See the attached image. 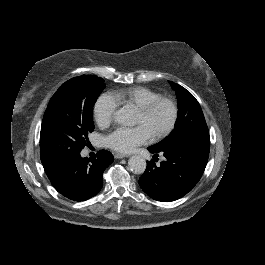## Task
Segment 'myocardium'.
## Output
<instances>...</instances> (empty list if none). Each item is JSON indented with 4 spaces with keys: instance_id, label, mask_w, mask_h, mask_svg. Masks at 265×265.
<instances>
[{
    "instance_id": "myocardium-1",
    "label": "myocardium",
    "mask_w": 265,
    "mask_h": 265,
    "mask_svg": "<svg viewBox=\"0 0 265 265\" xmlns=\"http://www.w3.org/2000/svg\"><path fill=\"white\" fill-rule=\"evenodd\" d=\"M159 104L167 105L170 109L171 115L167 125L164 128H162L159 132H157L155 135H153L152 137L153 141H158L164 138L174 129L179 114L177 104L173 100L160 96L146 103L142 108L138 110V112L143 116H148L153 112V110Z\"/></svg>"
}]
</instances>
